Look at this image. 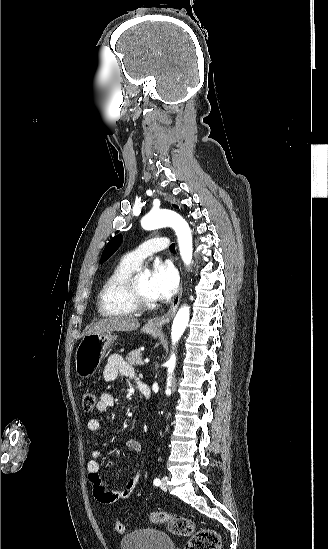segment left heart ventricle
<instances>
[{
	"instance_id": "1",
	"label": "left heart ventricle",
	"mask_w": 328,
	"mask_h": 549,
	"mask_svg": "<svg viewBox=\"0 0 328 549\" xmlns=\"http://www.w3.org/2000/svg\"><path fill=\"white\" fill-rule=\"evenodd\" d=\"M150 274L145 270L137 280V290L141 297L147 300H153L149 292Z\"/></svg>"
}]
</instances>
